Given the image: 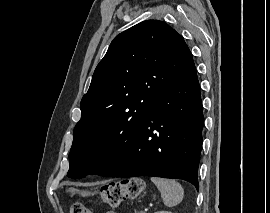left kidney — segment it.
I'll return each instance as SVG.
<instances>
[{
	"label": "left kidney",
	"mask_w": 270,
	"mask_h": 213,
	"mask_svg": "<svg viewBox=\"0 0 270 213\" xmlns=\"http://www.w3.org/2000/svg\"><path fill=\"white\" fill-rule=\"evenodd\" d=\"M156 213H171V212L161 211V212H156Z\"/></svg>",
	"instance_id": "1"
}]
</instances>
